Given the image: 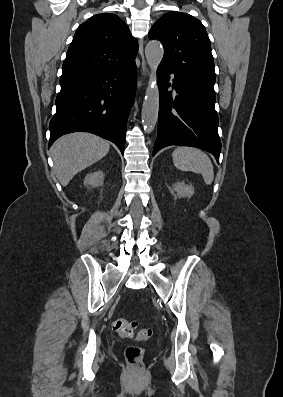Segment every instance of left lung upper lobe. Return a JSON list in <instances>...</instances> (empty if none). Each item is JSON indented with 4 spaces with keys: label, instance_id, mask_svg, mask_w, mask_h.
I'll return each mask as SVG.
<instances>
[{
    "label": "left lung upper lobe",
    "instance_id": "left-lung-upper-lobe-1",
    "mask_svg": "<svg viewBox=\"0 0 283 397\" xmlns=\"http://www.w3.org/2000/svg\"><path fill=\"white\" fill-rule=\"evenodd\" d=\"M149 39L163 43L160 64L175 74L214 91L215 70L211 43L203 24L193 16L171 11L149 31Z\"/></svg>",
    "mask_w": 283,
    "mask_h": 397
}]
</instances>
